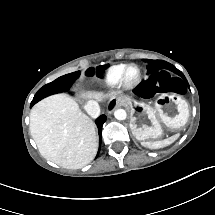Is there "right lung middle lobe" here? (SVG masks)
Returning a JSON list of instances; mask_svg holds the SVG:
<instances>
[{
	"label": "right lung middle lobe",
	"instance_id": "1",
	"mask_svg": "<svg viewBox=\"0 0 215 215\" xmlns=\"http://www.w3.org/2000/svg\"><path fill=\"white\" fill-rule=\"evenodd\" d=\"M80 76V71L73 72L64 76H61L54 80L53 82L43 86L38 92L35 94L31 106L36 104L41 99L55 93L67 91L72 85L73 81H75Z\"/></svg>",
	"mask_w": 215,
	"mask_h": 215
}]
</instances>
